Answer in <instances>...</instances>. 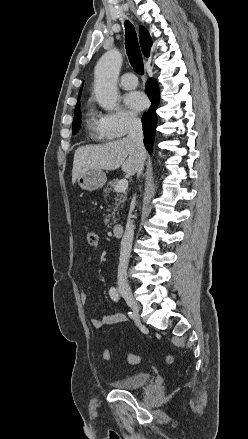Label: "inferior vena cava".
Listing matches in <instances>:
<instances>
[{
  "instance_id": "obj_1",
  "label": "inferior vena cava",
  "mask_w": 248,
  "mask_h": 439,
  "mask_svg": "<svg viewBox=\"0 0 248 439\" xmlns=\"http://www.w3.org/2000/svg\"><path fill=\"white\" fill-rule=\"evenodd\" d=\"M127 138L133 142L134 147L138 151L140 155V164L137 170V176L139 177L142 174L144 162L146 159V151L143 144V130L141 120L137 117H130L128 120V135ZM135 201V198H134ZM134 201L132 203L130 214L134 209ZM134 237V225L131 220V215L127 221L125 233L121 240V248H120V257H119V265H118V283L124 284L128 286L127 282V268L132 248V242Z\"/></svg>"
}]
</instances>
